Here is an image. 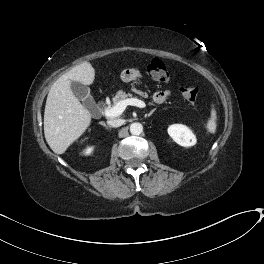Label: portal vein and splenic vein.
<instances>
[{"mask_svg": "<svg viewBox=\"0 0 264 264\" xmlns=\"http://www.w3.org/2000/svg\"><path fill=\"white\" fill-rule=\"evenodd\" d=\"M128 105L137 106L139 108L146 107V104L143 101L136 99V98H129V99H125V100L118 102L113 107L105 108L104 114L107 117H117L124 112V110L126 109Z\"/></svg>", "mask_w": 264, "mask_h": 264, "instance_id": "obj_1", "label": "portal vein and splenic vein"}]
</instances>
